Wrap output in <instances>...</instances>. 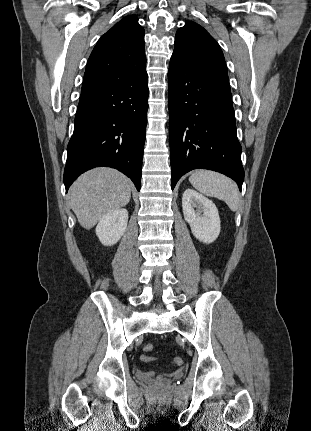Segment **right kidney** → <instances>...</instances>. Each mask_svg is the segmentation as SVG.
<instances>
[{"mask_svg":"<svg viewBox=\"0 0 311 431\" xmlns=\"http://www.w3.org/2000/svg\"><path fill=\"white\" fill-rule=\"evenodd\" d=\"M128 223V212L125 208L112 210L101 217L96 225V235L104 245H113L124 235Z\"/></svg>","mask_w":311,"mask_h":431,"instance_id":"obj_1","label":"right kidney"}]
</instances>
